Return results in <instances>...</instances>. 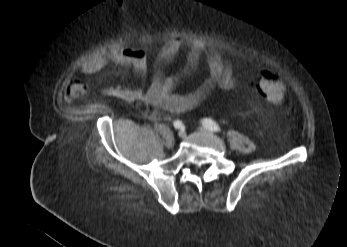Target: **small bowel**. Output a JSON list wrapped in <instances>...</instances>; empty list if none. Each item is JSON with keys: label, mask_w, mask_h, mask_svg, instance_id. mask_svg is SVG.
<instances>
[{"label": "small bowel", "mask_w": 347, "mask_h": 247, "mask_svg": "<svg viewBox=\"0 0 347 247\" xmlns=\"http://www.w3.org/2000/svg\"><path fill=\"white\" fill-rule=\"evenodd\" d=\"M187 45L183 74L192 72L202 56H205L208 76L192 91L186 94L174 92L180 75H165L164 67ZM115 63L133 69L137 80L143 82L147 74L148 60L143 48L112 47L109 50L94 53L79 63V70L85 75L95 74L108 64ZM236 86V78L232 65L222 55L202 42L184 43L179 38H170L163 42L154 58V74L147 89L112 85L108 92L119 99L139 101L153 108L147 113L152 121L162 117V111L184 113L196 108L200 102L215 88L232 90ZM81 83H72L66 87L65 99L70 101L83 94Z\"/></svg>", "instance_id": "small-bowel-1"}]
</instances>
